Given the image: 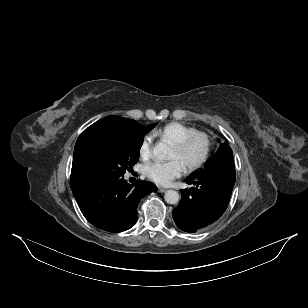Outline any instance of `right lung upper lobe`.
<instances>
[{
  "instance_id": "cb5924a9",
  "label": "right lung upper lobe",
  "mask_w": 308,
  "mask_h": 308,
  "mask_svg": "<svg viewBox=\"0 0 308 308\" xmlns=\"http://www.w3.org/2000/svg\"><path fill=\"white\" fill-rule=\"evenodd\" d=\"M139 125L132 119L108 116L85 129L75 144L70 177L71 189L77 188L92 179L89 157L97 142L111 136L132 133Z\"/></svg>"
}]
</instances>
